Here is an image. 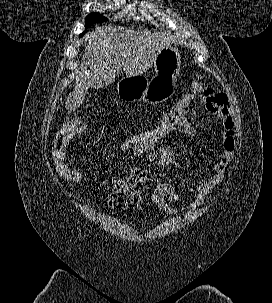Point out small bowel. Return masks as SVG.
<instances>
[{
	"label": "small bowel",
	"mask_w": 272,
	"mask_h": 303,
	"mask_svg": "<svg viewBox=\"0 0 272 303\" xmlns=\"http://www.w3.org/2000/svg\"><path fill=\"white\" fill-rule=\"evenodd\" d=\"M198 93L207 112L217 116L221 120L222 150L218 161L214 165L212 175L207 180L199 182L194 188L189 189V193L194 194V199L189 206L190 209L200 206L209 193L223 182L227 165L232 160L235 150L234 120L227 95L205 85H203ZM194 133L195 129L193 126L181 132V134L188 136ZM132 152L135 157L154 162L161 167L174 166L185 171L184 166L176 159L171 150L164 145L137 149ZM111 180L114 192H129L132 188L150 182L152 176L148 170L135 167L124 175L112 173ZM150 200L161 210L169 213L176 212L172 207L173 203L185 202V198L179 195L169 183L159 184L152 192Z\"/></svg>",
	"instance_id": "c3829d8e"
}]
</instances>
